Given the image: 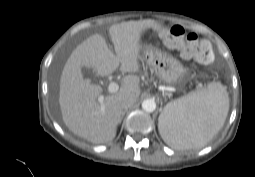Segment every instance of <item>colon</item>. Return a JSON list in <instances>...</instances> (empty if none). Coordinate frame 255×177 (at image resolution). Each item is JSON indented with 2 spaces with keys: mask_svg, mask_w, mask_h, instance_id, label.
Returning <instances> with one entry per match:
<instances>
[{
  "mask_svg": "<svg viewBox=\"0 0 255 177\" xmlns=\"http://www.w3.org/2000/svg\"><path fill=\"white\" fill-rule=\"evenodd\" d=\"M158 32L163 44L167 48L177 50L184 59H192L200 64H209L213 61L211 45L207 41H199L196 33H186L179 25L160 27Z\"/></svg>",
  "mask_w": 255,
  "mask_h": 177,
  "instance_id": "5ec220e1",
  "label": "colon"
}]
</instances>
